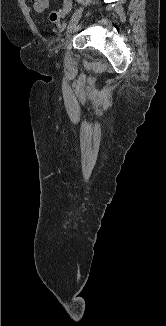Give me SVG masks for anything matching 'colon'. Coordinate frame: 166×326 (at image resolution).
<instances>
[{
    "label": "colon",
    "mask_w": 166,
    "mask_h": 326,
    "mask_svg": "<svg viewBox=\"0 0 166 326\" xmlns=\"http://www.w3.org/2000/svg\"><path fill=\"white\" fill-rule=\"evenodd\" d=\"M62 13H63V10L62 9H59V10H55V11H52L50 14H49V20L53 23H56L59 21L60 17L62 16Z\"/></svg>",
    "instance_id": "5ec220e1"
}]
</instances>
